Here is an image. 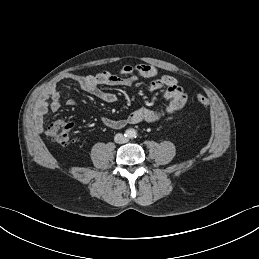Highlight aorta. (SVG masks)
<instances>
[{
  "label": "aorta",
  "instance_id": "obj_1",
  "mask_svg": "<svg viewBox=\"0 0 259 259\" xmlns=\"http://www.w3.org/2000/svg\"><path fill=\"white\" fill-rule=\"evenodd\" d=\"M135 134H136V132H135V130H134V129H130V130H128V135H129L130 137H134V136H135Z\"/></svg>",
  "mask_w": 259,
  "mask_h": 259
}]
</instances>
